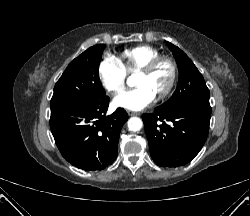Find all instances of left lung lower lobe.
Returning <instances> with one entry per match:
<instances>
[{
    "label": "left lung lower lobe",
    "mask_w": 250,
    "mask_h": 216,
    "mask_svg": "<svg viewBox=\"0 0 250 216\" xmlns=\"http://www.w3.org/2000/svg\"><path fill=\"white\" fill-rule=\"evenodd\" d=\"M211 113L196 107L143 114L150 154L161 167H177L190 162L203 147Z\"/></svg>",
    "instance_id": "left-lung-lower-lobe-1"
}]
</instances>
